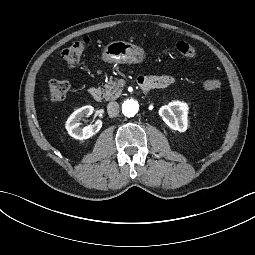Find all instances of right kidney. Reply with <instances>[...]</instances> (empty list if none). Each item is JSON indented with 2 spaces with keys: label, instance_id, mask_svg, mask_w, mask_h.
<instances>
[{
  "label": "right kidney",
  "instance_id": "1",
  "mask_svg": "<svg viewBox=\"0 0 255 255\" xmlns=\"http://www.w3.org/2000/svg\"><path fill=\"white\" fill-rule=\"evenodd\" d=\"M94 108L90 105L81 107L74 111L67 119L65 127L70 136L75 139H87L96 134L102 127V121L97 120L94 124L88 125L84 128H80V120L86 116L91 115Z\"/></svg>",
  "mask_w": 255,
  "mask_h": 255
}]
</instances>
